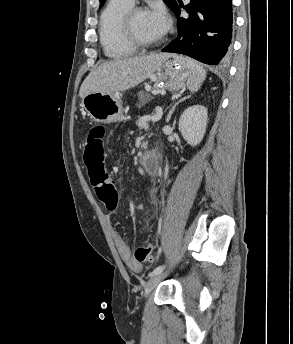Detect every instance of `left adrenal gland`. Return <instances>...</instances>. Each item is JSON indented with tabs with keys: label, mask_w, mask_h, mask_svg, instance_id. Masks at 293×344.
Returning <instances> with one entry per match:
<instances>
[{
	"label": "left adrenal gland",
	"mask_w": 293,
	"mask_h": 344,
	"mask_svg": "<svg viewBox=\"0 0 293 344\" xmlns=\"http://www.w3.org/2000/svg\"><path fill=\"white\" fill-rule=\"evenodd\" d=\"M188 98H190V96L184 97V98L180 99L177 103H175V105L171 108V110L169 111V113H168V115H167L166 122H169V120L171 119V116H172V114H173V112H174L176 106H177L179 103L183 102L184 100H186V99H188Z\"/></svg>",
	"instance_id": "1"
}]
</instances>
